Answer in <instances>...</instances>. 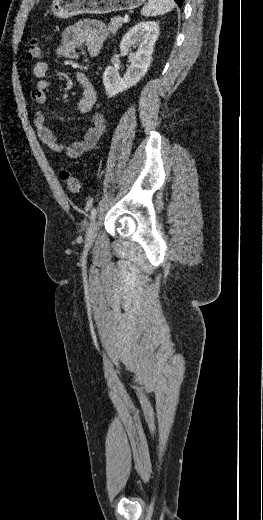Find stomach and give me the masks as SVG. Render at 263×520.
<instances>
[{
	"label": "stomach",
	"mask_w": 263,
	"mask_h": 520,
	"mask_svg": "<svg viewBox=\"0 0 263 520\" xmlns=\"http://www.w3.org/2000/svg\"><path fill=\"white\" fill-rule=\"evenodd\" d=\"M145 0H53L51 12L61 19L80 14H108L135 9Z\"/></svg>",
	"instance_id": "stomach-1"
}]
</instances>
